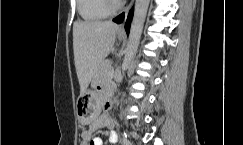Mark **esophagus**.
I'll return each mask as SVG.
<instances>
[{"label": "esophagus", "mask_w": 243, "mask_h": 145, "mask_svg": "<svg viewBox=\"0 0 243 145\" xmlns=\"http://www.w3.org/2000/svg\"><path fill=\"white\" fill-rule=\"evenodd\" d=\"M133 2H134V0H132V1L130 2V4L128 5V7H127V8L125 9V11H124V13H125V19H124V21L121 23V25H120V27H119V30H120V31H124L125 21H126V19H127L128 13H129V11H130L132 5H133Z\"/></svg>", "instance_id": "obj_1"}]
</instances>
